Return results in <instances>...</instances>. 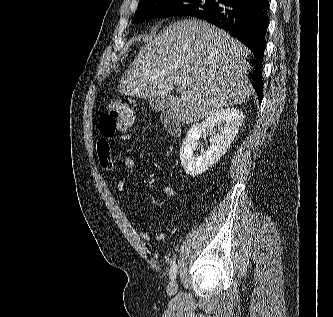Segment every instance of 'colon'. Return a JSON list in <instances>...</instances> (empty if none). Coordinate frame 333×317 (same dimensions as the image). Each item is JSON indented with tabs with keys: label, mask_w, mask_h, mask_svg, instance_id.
Segmentation results:
<instances>
[{
	"label": "colon",
	"mask_w": 333,
	"mask_h": 317,
	"mask_svg": "<svg viewBox=\"0 0 333 317\" xmlns=\"http://www.w3.org/2000/svg\"><path fill=\"white\" fill-rule=\"evenodd\" d=\"M134 122L132 110L122 102H112L106 107L105 114L100 118L99 131L105 137L118 132H125Z\"/></svg>",
	"instance_id": "5ec220e1"
}]
</instances>
